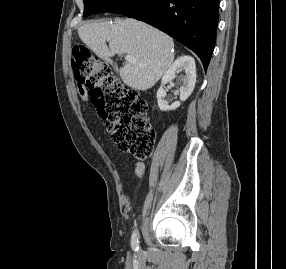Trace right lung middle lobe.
I'll use <instances>...</instances> for the list:
<instances>
[{"label": "right lung middle lobe", "instance_id": "dd1d6c3e", "mask_svg": "<svg viewBox=\"0 0 286 269\" xmlns=\"http://www.w3.org/2000/svg\"><path fill=\"white\" fill-rule=\"evenodd\" d=\"M84 17L93 13L114 12L129 15L136 12L153 0H83Z\"/></svg>", "mask_w": 286, "mask_h": 269}]
</instances>
